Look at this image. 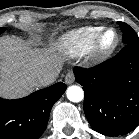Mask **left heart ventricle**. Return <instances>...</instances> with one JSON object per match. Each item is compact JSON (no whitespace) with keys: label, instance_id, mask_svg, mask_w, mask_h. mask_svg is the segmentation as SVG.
Wrapping results in <instances>:
<instances>
[{"label":"left heart ventricle","instance_id":"b2bd125f","mask_svg":"<svg viewBox=\"0 0 139 139\" xmlns=\"http://www.w3.org/2000/svg\"><path fill=\"white\" fill-rule=\"evenodd\" d=\"M115 40V34L112 31L107 32L101 41L102 47L106 48L113 44Z\"/></svg>","mask_w":139,"mask_h":139}]
</instances>
